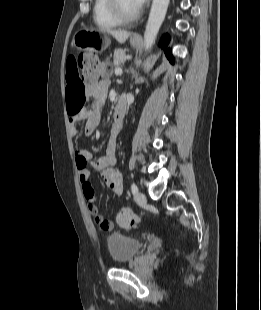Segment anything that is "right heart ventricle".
<instances>
[{
  "mask_svg": "<svg viewBox=\"0 0 261 310\" xmlns=\"http://www.w3.org/2000/svg\"><path fill=\"white\" fill-rule=\"evenodd\" d=\"M93 19L95 24L101 29H113L121 25L110 13L107 7V0H94Z\"/></svg>",
  "mask_w": 261,
  "mask_h": 310,
  "instance_id": "e07e8e85",
  "label": "right heart ventricle"
}]
</instances>
